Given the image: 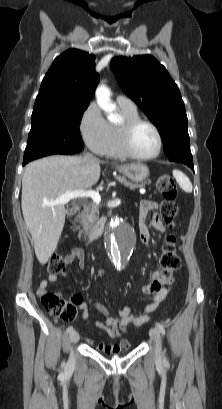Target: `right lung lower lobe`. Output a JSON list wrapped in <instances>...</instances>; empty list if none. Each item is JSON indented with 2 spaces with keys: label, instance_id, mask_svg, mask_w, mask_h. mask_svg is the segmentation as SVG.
<instances>
[{
  "label": "right lung lower lobe",
  "instance_id": "right-lung-lower-lobe-1",
  "mask_svg": "<svg viewBox=\"0 0 222 409\" xmlns=\"http://www.w3.org/2000/svg\"><path fill=\"white\" fill-rule=\"evenodd\" d=\"M83 148H84V146H83V147H79L78 150H77V152L81 151ZM27 163H28V162H23V165H25V164H27Z\"/></svg>",
  "mask_w": 222,
  "mask_h": 409
}]
</instances>
